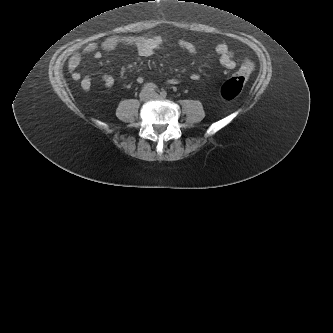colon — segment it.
I'll return each mask as SVG.
<instances>
[{
    "instance_id": "colon-1",
    "label": "colon",
    "mask_w": 333,
    "mask_h": 333,
    "mask_svg": "<svg viewBox=\"0 0 333 333\" xmlns=\"http://www.w3.org/2000/svg\"><path fill=\"white\" fill-rule=\"evenodd\" d=\"M254 63L250 59H245L239 69V72L223 83L220 94L224 99H234L242 91L246 79L252 73Z\"/></svg>"
}]
</instances>
